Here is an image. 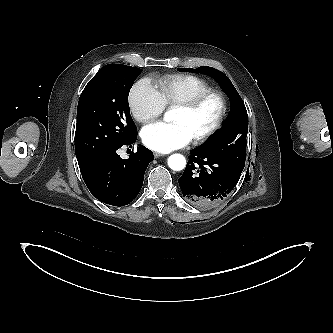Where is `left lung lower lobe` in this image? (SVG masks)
I'll list each match as a JSON object with an SVG mask.
<instances>
[{
  "mask_svg": "<svg viewBox=\"0 0 333 333\" xmlns=\"http://www.w3.org/2000/svg\"><path fill=\"white\" fill-rule=\"evenodd\" d=\"M242 170L202 148L191 151L185 171L178 179L183 197L190 203L210 208L234 189Z\"/></svg>",
  "mask_w": 333,
  "mask_h": 333,
  "instance_id": "obj_1",
  "label": "left lung lower lobe"
}]
</instances>
